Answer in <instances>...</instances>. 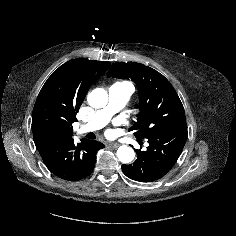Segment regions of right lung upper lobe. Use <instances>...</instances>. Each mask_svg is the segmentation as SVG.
Returning <instances> with one entry per match:
<instances>
[{
	"mask_svg": "<svg viewBox=\"0 0 236 236\" xmlns=\"http://www.w3.org/2000/svg\"><path fill=\"white\" fill-rule=\"evenodd\" d=\"M110 62L76 58L60 66L43 85L32 113L34 142L73 139L72 123L91 85Z\"/></svg>",
	"mask_w": 236,
	"mask_h": 236,
	"instance_id": "right-lung-upper-lobe-1",
	"label": "right lung upper lobe"
}]
</instances>
